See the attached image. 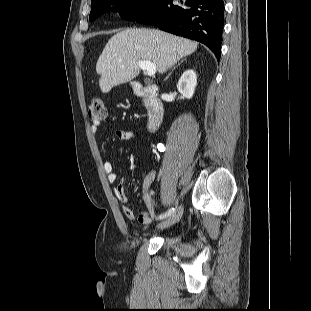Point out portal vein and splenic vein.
Here are the masks:
<instances>
[{
    "instance_id": "18ae733b",
    "label": "portal vein and splenic vein",
    "mask_w": 311,
    "mask_h": 311,
    "mask_svg": "<svg viewBox=\"0 0 311 311\" xmlns=\"http://www.w3.org/2000/svg\"><path fill=\"white\" fill-rule=\"evenodd\" d=\"M138 65L142 70L146 71L148 76H153L156 73V65L150 61L140 60Z\"/></svg>"
}]
</instances>
